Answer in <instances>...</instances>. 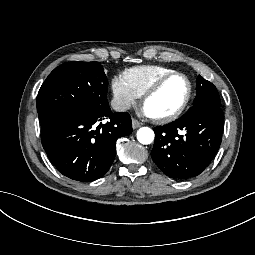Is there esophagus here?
<instances>
[{
    "mask_svg": "<svg viewBox=\"0 0 255 255\" xmlns=\"http://www.w3.org/2000/svg\"><path fill=\"white\" fill-rule=\"evenodd\" d=\"M142 125L141 122H139L137 119L132 118V127L133 129H137L138 127H140Z\"/></svg>",
    "mask_w": 255,
    "mask_h": 255,
    "instance_id": "34e87169",
    "label": "esophagus"
}]
</instances>
